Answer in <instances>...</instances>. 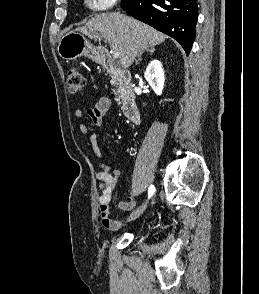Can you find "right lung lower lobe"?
Returning <instances> with one entry per match:
<instances>
[{
  "instance_id": "1",
  "label": "right lung lower lobe",
  "mask_w": 259,
  "mask_h": 294,
  "mask_svg": "<svg viewBox=\"0 0 259 294\" xmlns=\"http://www.w3.org/2000/svg\"><path fill=\"white\" fill-rule=\"evenodd\" d=\"M134 18L171 36L190 53L198 18L197 0H121Z\"/></svg>"
}]
</instances>
